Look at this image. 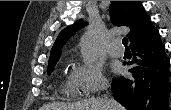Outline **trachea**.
<instances>
[{
	"label": "trachea",
	"instance_id": "obj_1",
	"mask_svg": "<svg viewBox=\"0 0 171 110\" xmlns=\"http://www.w3.org/2000/svg\"><path fill=\"white\" fill-rule=\"evenodd\" d=\"M122 43H123V45L125 46L126 49L129 48V47H128V39H127L126 37L123 38Z\"/></svg>",
	"mask_w": 171,
	"mask_h": 110
}]
</instances>
